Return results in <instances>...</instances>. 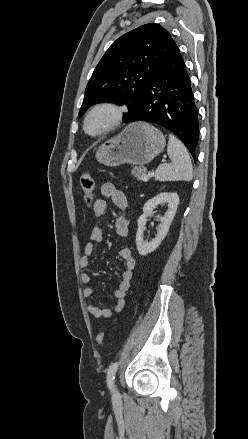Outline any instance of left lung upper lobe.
I'll return each instance as SVG.
<instances>
[{"mask_svg": "<svg viewBox=\"0 0 248 439\" xmlns=\"http://www.w3.org/2000/svg\"><path fill=\"white\" fill-rule=\"evenodd\" d=\"M158 24H145L118 38L96 66L85 90L78 118L96 103L119 102L130 117L142 96L176 47Z\"/></svg>", "mask_w": 248, "mask_h": 439, "instance_id": "5c2ea615", "label": "left lung upper lobe"}]
</instances>
